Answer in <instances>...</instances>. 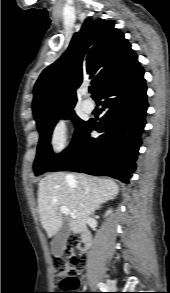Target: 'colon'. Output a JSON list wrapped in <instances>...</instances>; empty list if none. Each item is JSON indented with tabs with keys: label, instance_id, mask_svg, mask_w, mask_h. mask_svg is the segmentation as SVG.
I'll return each mask as SVG.
<instances>
[{
	"label": "colon",
	"instance_id": "1",
	"mask_svg": "<svg viewBox=\"0 0 170 293\" xmlns=\"http://www.w3.org/2000/svg\"><path fill=\"white\" fill-rule=\"evenodd\" d=\"M85 255L80 251V241L76 237H69L66 242L64 257L53 256L52 265L55 275L61 279L60 291L55 293H72L79 286V281L75 277L76 272L83 268Z\"/></svg>",
	"mask_w": 170,
	"mask_h": 293
}]
</instances>
